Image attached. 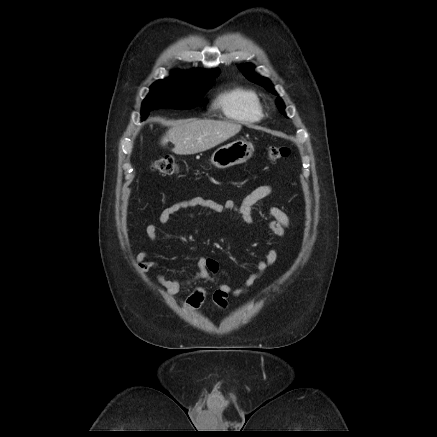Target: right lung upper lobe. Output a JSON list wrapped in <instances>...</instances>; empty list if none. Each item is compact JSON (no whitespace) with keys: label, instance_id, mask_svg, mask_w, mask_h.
Masks as SVG:
<instances>
[{"label":"right lung upper lobe","instance_id":"obj_1","mask_svg":"<svg viewBox=\"0 0 437 437\" xmlns=\"http://www.w3.org/2000/svg\"><path fill=\"white\" fill-rule=\"evenodd\" d=\"M220 71L218 69L201 71L194 70L188 73L176 72L173 73L168 79L179 80L189 84H203L209 81H213L219 75Z\"/></svg>","mask_w":437,"mask_h":437}]
</instances>
